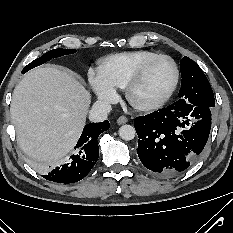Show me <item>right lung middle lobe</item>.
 <instances>
[{"label": "right lung middle lobe", "instance_id": "right-lung-middle-lobe-1", "mask_svg": "<svg viewBox=\"0 0 233 233\" xmlns=\"http://www.w3.org/2000/svg\"><path fill=\"white\" fill-rule=\"evenodd\" d=\"M75 52H76V50H74V49H53V50H50V51L46 52L44 55H42L40 58L35 59L30 64H28L23 69L22 73L24 74L25 72L29 71L30 69H32L36 66L42 65L43 63L51 60L52 58L73 54Z\"/></svg>", "mask_w": 233, "mask_h": 233}]
</instances>
